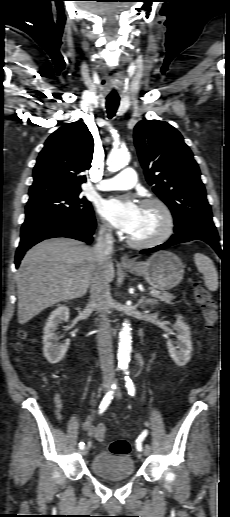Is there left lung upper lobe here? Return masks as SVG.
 Listing matches in <instances>:
<instances>
[{
  "instance_id": "5c2ea615",
  "label": "left lung upper lobe",
  "mask_w": 230,
  "mask_h": 517,
  "mask_svg": "<svg viewBox=\"0 0 230 517\" xmlns=\"http://www.w3.org/2000/svg\"><path fill=\"white\" fill-rule=\"evenodd\" d=\"M134 141L148 183L172 212L175 233L211 221L198 164L182 135L167 122L143 120Z\"/></svg>"
}]
</instances>
